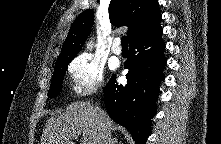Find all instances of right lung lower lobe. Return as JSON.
<instances>
[{
  "mask_svg": "<svg viewBox=\"0 0 221 144\" xmlns=\"http://www.w3.org/2000/svg\"><path fill=\"white\" fill-rule=\"evenodd\" d=\"M161 35L158 24L130 41V56L124 64L129 69L127 84L118 85L113 75L104 89L109 116L130 131L136 144H144L150 135L159 82L164 79L165 44Z\"/></svg>",
  "mask_w": 221,
  "mask_h": 144,
  "instance_id": "98d812e1",
  "label": "right lung lower lobe"
}]
</instances>
